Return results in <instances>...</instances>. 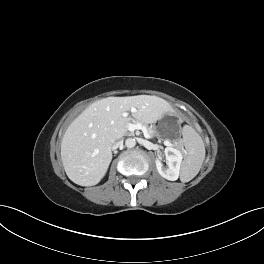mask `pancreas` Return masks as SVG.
I'll use <instances>...</instances> for the list:
<instances>
[{"label":"pancreas","instance_id":"cf45deb5","mask_svg":"<svg viewBox=\"0 0 264 264\" xmlns=\"http://www.w3.org/2000/svg\"><path fill=\"white\" fill-rule=\"evenodd\" d=\"M140 123H141L142 125H144V126L147 128L148 133H149V135H150L151 137H153V136L156 135V131H155L154 128L148 127L147 125H145V124L142 123V122H140ZM174 145H175L177 148H180V147H181V145L178 144V143H175Z\"/></svg>","mask_w":264,"mask_h":264}]
</instances>
